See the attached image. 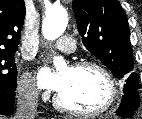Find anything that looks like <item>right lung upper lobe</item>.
<instances>
[{
    "label": "right lung upper lobe",
    "mask_w": 142,
    "mask_h": 119,
    "mask_svg": "<svg viewBox=\"0 0 142 119\" xmlns=\"http://www.w3.org/2000/svg\"><path fill=\"white\" fill-rule=\"evenodd\" d=\"M24 17V0H0V50L18 49Z\"/></svg>",
    "instance_id": "cb5924a9"
}]
</instances>
